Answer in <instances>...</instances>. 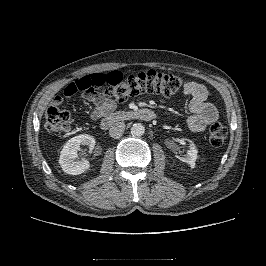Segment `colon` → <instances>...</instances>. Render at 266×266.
Returning a JSON list of instances; mask_svg holds the SVG:
<instances>
[{"label": "colon", "instance_id": "obj_1", "mask_svg": "<svg viewBox=\"0 0 266 266\" xmlns=\"http://www.w3.org/2000/svg\"><path fill=\"white\" fill-rule=\"evenodd\" d=\"M104 87L105 96L124 102L129 97L144 93L153 92L163 96H172L182 87V80L179 76L148 70L136 74L124 76L118 71L109 73H94L77 78L64 90V95L69 97L76 93H88L97 88ZM55 101L45 113V129L48 133L56 134L66 132L70 129V117L67 112L58 108ZM227 136V129L224 125L216 123L209 130V141L214 147L221 146Z\"/></svg>", "mask_w": 266, "mask_h": 266}]
</instances>
